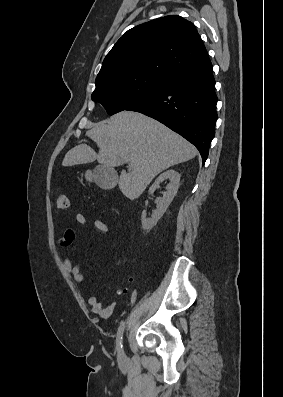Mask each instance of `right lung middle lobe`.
Segmentation results:
<instances>
[{
  "label": "right lung middle lobe",
  "instance_id": "right-lung-middle-lobe-1",
  "mask_svg": "<svg viewBox=\"0 0 283 397\" xmlns=\"http://www.w3.org/2000/svg\"><path fill=\"white\" fill-rule=\"evenodd\" d=\"M166 80L148 75H134L95 82L92 100L99 102L113 115L126 110L158 90Z\"/></svg>",
  "mask_w": 283,
  "mask_h": 397
}]
</instances>
